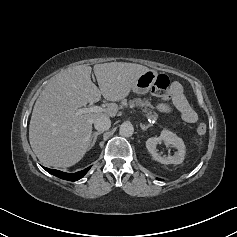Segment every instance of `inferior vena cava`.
<instances>
[{"mask_svg":"<svg viewBox=\"0 0 237 237\" xmlns=\"http://www.w3.org/2000/svg\"><path fill=\"white\" fill-rule=\"evenodd\" d=\"M111 121L107 116H100L94 120V127L98 131H106L110 128Z\"/></svg>","mask_w":237,"mask_h":237,"instance_id":"602c4592","label":"inferior vena cava"}]
</instances>
